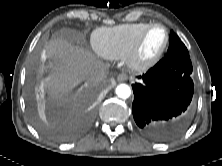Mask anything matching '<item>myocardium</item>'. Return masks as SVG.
<instances>
[{
    "mask_svg": "<svg viewBox=\"0 0 222 166\" xmlns=\"http://www.w3.org/2000/svg\"><path fill=\"white\" fill-rule=\"evenodd\" d=\"M154 28H161L164 31L165 34L164 43L160 48V50L153 57L149 59H141L139 56L140 47L146 35L149 33L150 30ZM168 44H169V32L167 28L160 23L149 24L139 33L136 40L129 49L127 55L125 56L127 65L134 71H145L152 68L160 61V59L162 58L168 47Z\"/></svg>",
    "mask_w": 222,
    "mask_h": 166,
    "instance_id": "f54148a6",
    "label": "myocardium"
}]
</instances>
